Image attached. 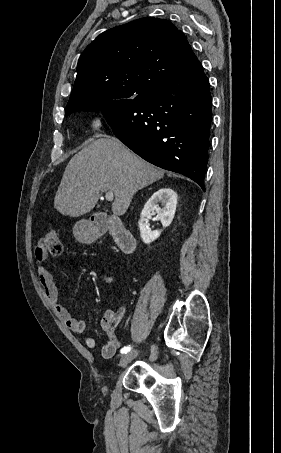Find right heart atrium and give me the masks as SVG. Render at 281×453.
<instances>
[{"mask_svg": "<svg viewBox=\"0 0 281 453\" xmlns=\"http://www.w3.org/2000/svg\"><path fill=\"white\" fill-rule=\"evenodd\" d=\"M105 116L100 112L93 113L89 118V129L93 134H98L104 127Z\"/></svg>", "mask_w": 281, "mask_h": 453, "instance_id": "obj_1", "label": "right heart atrium"}]
</instances>
